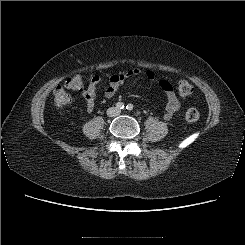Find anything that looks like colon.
Segmentation results:
<instances>
[{
    "label": "colon",
    "instance_id": "1",
    "mask_svg": "<svg viewBox=\"0 0 245 245\" xmlns=\"http://www.w3.org/2000/svg\"><path fill=\"white\" fill-rule=\"evenodd\" d=\"M85 86L83 76L75 74L71 76L65 83V87H58L54 92V105L61 109L69 105L72 101V95L68 92H82ZM177 90L180 96H188L193 93V86L187 81L179 82ZM200 113L195 108H190L185 113V118L189 122H196L199 120Z\"/></svg>",
    "mask_w": 245,
    "mask_h": 245
}]
</instances>
